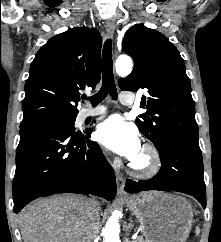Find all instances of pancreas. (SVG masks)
I'll return each instance as SVG.
<instances>
[{"label": "pancreas", "mask_w": 221, "mask_h": 242, "mask_svg": "<svg viewBox=\"0 0 221 242\" xmlns=\"http://www.w3.org/2000/svg\"><path fill=\"white\" fill-rule=\"evenodd\" d=\"M132 242H145L144 240H143V238L142 237H137V239H135L134 241H132Z\"/></svg>", "instance_id": "cf45deb5"}]
</instances>
